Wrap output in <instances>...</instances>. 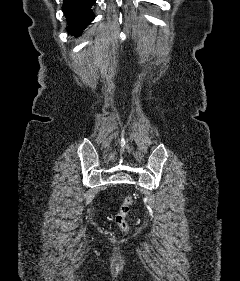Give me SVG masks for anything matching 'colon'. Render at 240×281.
Listing matches in <instances>:
<instances>
[{
	"label": "colon",
	"instance_id": "colon-1",
	"mask_svg": "<svg viewBox=\"0 0 240 281\" xmlns=\"http://www.w3.org/2000/svg\"><path fill=\"white\" fill-rule=\"evenodd\" d=\"M134 200L132 197L127 196L123 199L119 211L115 217L116 224L118 225L120 231L122 233H126L128 231V224L126 221V217L133 206Z\"/></svg>",
	"mask_w": 240,
	"mask_h": 281
}]
</instances>
